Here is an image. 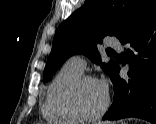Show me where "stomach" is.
<instances>
[{"instance_id": "stomach-1", "label": "stomach", "mask_w": 156, "mask_h": 124, "mask_svg": "<svg viewBox=\"0 0 156 124\" xmlns=\"http://www.w3.org/2000/svg\"><path fill=\"white\" fill-rule=\"evenodd\" d=\"M106 124H116L114 122H107ZM117 124H124L123 122H118Z\"/></svg>"}]
</instances>
